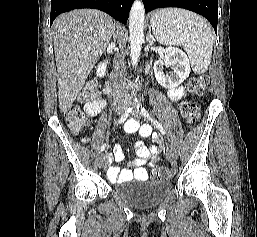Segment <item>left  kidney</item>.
Instances as JSON below:
<instances>
[{"instance_id": "obj_1", "label": "left kidney", "mask_w": 257, "mask_h": 237, "mask_svg": "<svg viewBox=\"0 0 257 237\" xmlns=\"http://www.w3.org/2000/svg\"><path fill=\"white\" fill-rule=\"evenodd\" d=\"M165 67H170L173 72L167 73L164 70ZM190 71L187 55L176 47H167L164 59L154 63V74L157 82L168 89L179 86L189 76Z\"/></svg>"}]
</instances>
